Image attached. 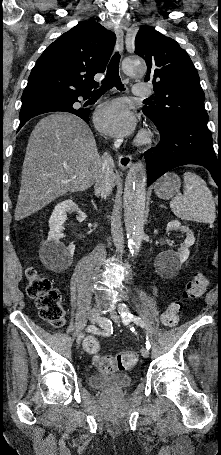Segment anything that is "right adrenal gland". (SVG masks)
<instances>
[{
    "label": "right adrenal gland",
    "mask_w": 221,
    "mask_h": 455,
    "mask_svg": "<svg viewBox=\"0 0 221 455\" xmlns=\"http://www.w3.org/2000/svg\"><path fill=\"white\" fill-rule=\"evenodd\" d=\"M92 205L94 206L95 209H97V204L95 203V201L92 199Z\"/></svg>",
    "instance_id": "1"
}]
</instances>
